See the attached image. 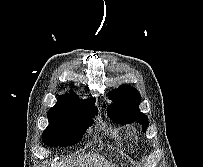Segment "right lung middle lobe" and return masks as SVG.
I'll list each match as a JSON object with an SVG mask.
<instances>
[{
  "label": "right lung middle lobe",
  "mask_w": 203,
  "mask_h": 167,
  "mask_svg": "<svg viewBox=\"0 0 203 167\" xmlns=\"http://www.w3.org/2000/svg\"><path fill=\"white\" fill-rule=\"evenodd\" d=\"M97 115L94 103H80L65 109L48 111L49 124L42 141L48 146H71L78 143Z\"/></svg>",
  "instance_id": "obj_1"
}]
</instances>
